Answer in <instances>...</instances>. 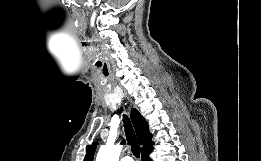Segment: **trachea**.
<instances>
[{"mask_svg":"<svg viewBox=\"0 0 261 161\" xmlns=\"http://www.w3.org/2000/svg\"><path fill=\"white\" fill-rule=\"evenodd\" d=\"M123 122H124L125 134H126V139H127L128 145L131 146L133 155L136 158H139L140 151H141L140 145L138 144L137 137L135 135L132 124L126 115L123 116Z\"/></svg>","mask_w":261,"mask_h":161,"instance_id":"1","label":"trachea"}]
</instances>
